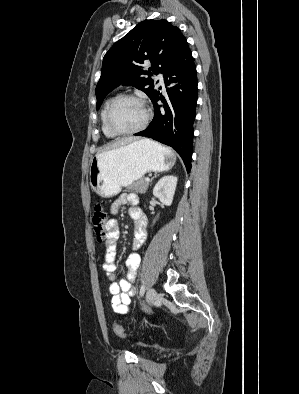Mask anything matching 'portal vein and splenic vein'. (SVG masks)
I'll list each match as a JSON object with an SVG mask.
<instances>
[{
	"label": "portal vein and splenic vein",
	"instance_id": "obj_1",
	"mask_svg": "<svg viewBox=\"0 0 299 394\" xmlns=\"http://www.w3.org/2000/svg\"><path fill=\"white\" fill-rule=\"evenodd\" d=\"M145 181H146V182H150V179H149V178H145Z\"/></svg>",
	"mask_w": 299,
	"mask_h": 394
}]
</instances>
